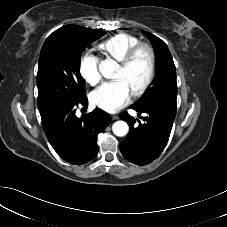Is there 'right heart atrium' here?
Wrapping results in <instances>:
<instances>
[{
  "label": "right heart atrium",
  "mask_w": 227,
  "mask_h": 227,
  "mask_svg": "<svg viewBox=\"0 0 227 227\" xmlns=\"http://www.w3.org/2000/svg\"><path fill=\"white\" fill-rule=\"evenodd\" d=\"M79 72L86 83L97 85L101 80L98 58L90 52L84 53L79 61Z\"/></svg>",
  "instance_id": "1"
}]
</instances>
